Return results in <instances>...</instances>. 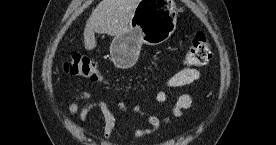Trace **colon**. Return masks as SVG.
<instances>
[{"mask_svg": "<svg viewBox=\"0 0 276 145\" xmlns=\"http://www.w3.org/2000/svg\"><path fill=\"white\" fill-rule=\"evenodd\" d=\"M212 56V49L205 35L197 33L185 54V63L190 68L204 66ZM65 72L70 76L87 79L91 82L105 83L103 72L95 60L87 56L73 55L64 65Z\"/></svg>", "mask_w": 276, "mask_h": 145, "instance_id": "colon-1", "label": "colon"}]
</instances>
